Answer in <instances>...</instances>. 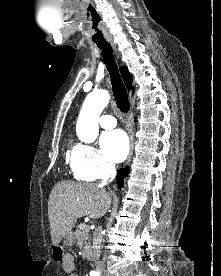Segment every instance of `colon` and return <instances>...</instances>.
I'll return each instance as SVG.
<instances>
[{
    "label": "colon",
    "mask_w": 221,
    "mask_h": 276,
    "mask_svg": "<svg viewBox=\"0 0 221 276\" xmlns=\"http://www.w3.org/2000/svg\"><path fill=\"white\" fill-rule=\"evenodd\" d=\"M66 247L64 245H57L53 247V258L54 261L63 262L66 255H65Z\"/></svg>",
    "instance_id": "5ec220e1"
}]
</instances>
